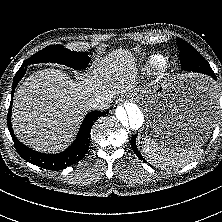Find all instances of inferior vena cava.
Here are the masks:
<instances>
[{
	"instance_id": "1",
	"label": "inferior vena cava",
	"mask_w": 222,
	"mask_h": 222,
	"mask_svg": "<svg viewBox=\"0 0 222 222\" xmlns=\"http://www.w3.org/2000/svg\"><path fill=\"white\" fill-rule=\"evenodd\" d=\"M111 101L108 95H97L94 98H90L86 105L92 110H106L110 107Z\"/></svg>"
}]
</instances>
